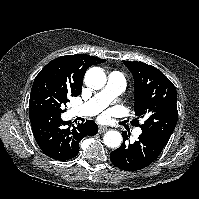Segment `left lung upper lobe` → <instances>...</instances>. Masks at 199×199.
I'll list each match as a JSON object with an SVG mask.
<instances>
[{
    "label": "left lung upper lobe",
    "mask_w": 199,
    "mask_h": 199,
    "mask_svg": "<svg viewBox=\"0 0 199 199\" xmlns=\"http://www.w3.org/2000/svg\"><path fill=\"white\" fill-rule=\"evenodd\" d=\"M134 78V110L138 118L131 121L139 125V117L145 118L140 125L142 132L168 142L177 123V94L173 83L157 68L143 62L125 61Z\"/></svg>",
    "instance_id": "5c2ea615"
}]
</instances>
